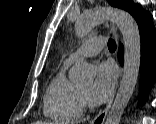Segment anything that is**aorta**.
I'll use <instances>...</instances> for the list:
<instances>
[{"label":"aorta","instance_id":"762f6f07","mask_svg":"<svg viewBox=\"0 0 156 124\" xmlns=\"http://www.w3.org/2000/svg\"><path fill=\"white\" fill-rule=\"evenodd\" d=\"M110 20L114 22L123 37L124 66L118 92L107 115L105 124H120L121 117L134 92L141 62V40L135 19L127 12L113 8H98L87 12L75 24L78 37H85L92 28ZM94 72L86 62L78 64L72 77L81 82L90 81Z\"/></svg>","mask_w":156,"mask_h":124}]
</instances>
